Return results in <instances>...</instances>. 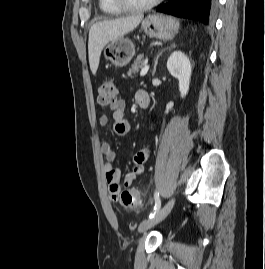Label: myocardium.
I'll return each mask as SVG.
<instances>
[{"instance_id": "myocardium-1", "label": "myocardium", "mask_w": 265, "mask_h": 269, "mask_svg": "<svg viewBox=\"0 0 265 269\" xmlns=\"http://www.w3.org/2000/svg\"><path fill=\"white\" fill-rule=\"evenodd\" d=\"M162 0H150L146 3L142 4H133L126 0H112V2L122 11H130V12H136V11H144L150 8H153L157 4H159Z\"/></svg>"}]
</instances>
